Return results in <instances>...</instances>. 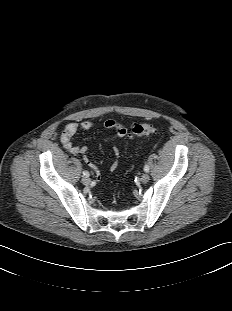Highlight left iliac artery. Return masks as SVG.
Masks as SVG:
<instances>
[{
  "label": "left iliac artery",
  "mask_w": 232,
  "mask_h": 311,
  "mask_svg": "<svg viewBox=\"0 0 232 311\" xmlns=\"http://www.w3.org/2000/svg\"><path fill=\"white\" fill-rule=\"evenodd\" d=\"M144 171H145V172H149V166H148V165H145V166H144Z\"/></svg>",
  "instance_id": "obj_1"
}]
</instances>
